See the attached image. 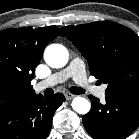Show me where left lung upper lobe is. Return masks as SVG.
<instances>
[{"instance_id":"5c2ea615","label":"left lung upper lobe","mask_w":139,"mask_h":139,"mask_svg":"<svg viewBox=\"0 0 139 139\" xmlns=\"http://www.w3.org/2000/svg\"><path fill=\"white\" fill-rule=\"evenodd\" d=\"M62 30L87 59L90 73L107 84L106 96L139 88L136 33L112 21L64 26Z\"/></svg>"}]
</instances>
